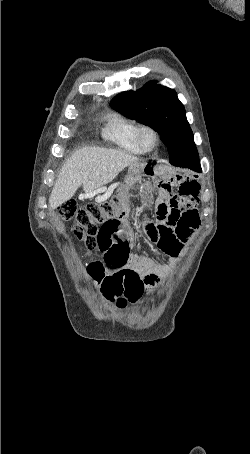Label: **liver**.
Listing matches in <instances>:
<instances>
[{"mask_svg": "<svg viewBox=\"0 0 250 454\" xmlns=\"http://www.w3.org/2000/svg\"><path fill=\"white\" fill-rule=\"evenodd\" d=\"M144 164L139 158L122 150L84 147L63 164L49 198L51 209L71 199L82 185L87 196L112 182L127 166Z\"/></svg>", "mask_w": 250, "mask_h": 454, "instance_id": "6515ba94", "label": "liver"}]
</instances>
